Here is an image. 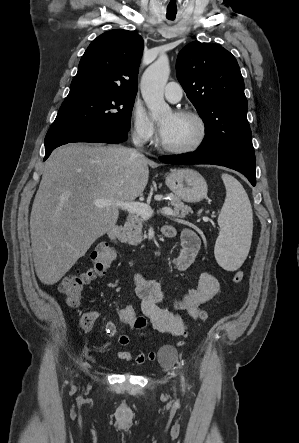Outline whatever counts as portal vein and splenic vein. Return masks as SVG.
Here are the masks:
<instances>
[{"label": "portal vein and splenic vein", "instance_id": "portal-vein-and-splenic-vein-1", "mask_svg": "<svg viewBox=\"0 0 299 443\" xmlns=\"http://www.w3.org/2000/svg\"><path fill=\"white\" fill-rule=\"evenodd\" d=\"M94 205L98 208H105L115 205L124 211L132 214H137L144 219H149L153 215V210L148 204L133 202V201H113L104 198L96 199ZM163 215L172 216L173 210L169 207H164L160 211Z\"/></svg>", "mask_w": 299, "mask_h": 443}]
</instances>
